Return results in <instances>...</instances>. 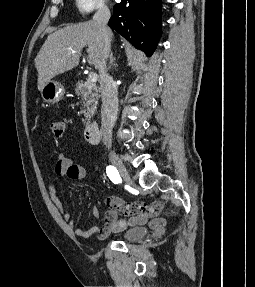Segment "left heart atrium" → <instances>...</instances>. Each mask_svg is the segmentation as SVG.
<instances>
[{
	"label": "left heart atrium",
	"instance_id": "39dd6f15",
	"mask_svg": "<svg viewBox=\"0 0 255 287\" xmlns=\"http://www.w3.org/2000/svg\"><path fill=\"white\" fill-rule=\"evenodd\" d=\"M86 33H89V32H86ZM82 39H88V38H82Z\"/></svg>",
	"mask_w": 255,
	"mask_h": 287
}]
</instances>
